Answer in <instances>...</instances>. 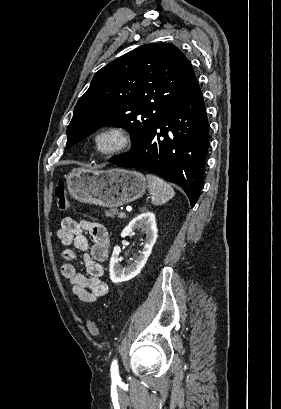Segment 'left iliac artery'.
Listing matches in <instances>:
<instances>
[{
    "instance_id": "44dca946",
    "label": "left iliac artery",
    "mask_w": 281,
    "mask_h": 409,
    "mask_svg": "<svg viewBox=\"0 0 281 409\" xmlns=\"http://www.w3.org/2000/svg\"><path fill=\"white\" fill-rule=\"evenodd\" d=\"M111 377L112 379H119L118 365L116 360H114L111 365Z\"/></svg>"
}]
</instances>
